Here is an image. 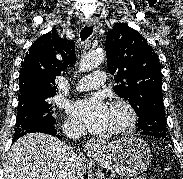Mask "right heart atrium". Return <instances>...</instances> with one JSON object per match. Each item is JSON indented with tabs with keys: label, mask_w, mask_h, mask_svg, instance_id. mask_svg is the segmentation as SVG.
I'll use <instances>...</instances> for the list:
<instances>
[{
	"label": "right heart atrium",
	"mask_w": 183,
	"mask_h": 179,
	"mask_svg": "<svg viewBox=\"0 0 183 179\" xmlns=\"http://www.w3.org/2000/svg\"><path fill=\"white\" fill-rule=\"evenodd\" d=\"M65 129L68 132H77L80 130V127L75 121H68L65 123Z\"/></svg>",
	"instance_id": "obj_1"
}]
</instances>
